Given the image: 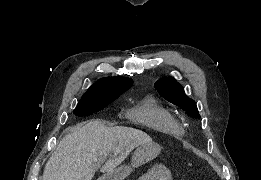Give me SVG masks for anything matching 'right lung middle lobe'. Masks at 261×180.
Segmentation results:
<instances>
[{
  "mask_svg": "<svg viewBox=\"0 0 261 180\" xmlns=\"http://www.w3.org/2000/svg\"><path fill=\"white\" fill-rule=\"evenodd\" d=\"M119 96H108V97H85L83 96L74 112L78 116H84L92 114L94 112L102 110L108 104L113 102Z\"/></svg>",
  "mask_w": 261,
  "mask_h": 180,
  "instance_id": "1",
  "label": "right lung middle lobe"
}]
</instances>
